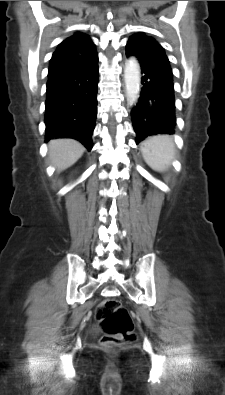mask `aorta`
<instances>
[{
	"instance_id": "obj_1",
	"label": "aorta",
	"mask_w": 225,
	"mask_h": 395,
	"mask_svg": "<svg viewBox=\"0 0 225 395\" xmlns=\"http://www.w3.org/2000/svg\"><path fill=\"white\" fill-rule=\"evenodd\" d=\"M126 95L130 105H135L140 93V66L135 58L127 60L124 69Z\"/></svg>"
}]
</instances>
